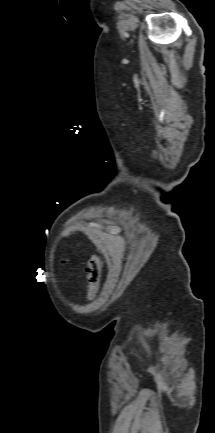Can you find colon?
<instances>
[{
  "label": "colon",
  "instance_id": "1",
  "mask_svg": "<svg viewBox=\"0 0 215 433\" xmlns=\"http://www.w3.org/2000/svg\"><path fill=\"white\" fill-rule=\"evenodd\" d=\"M86 273L88 282L86 297L91 300L96 296L99 286L100 260L96 255L89 259Z\"/></svg>",
  "mask_w": 215,
  "mask_h": 433
}]
</instances>
